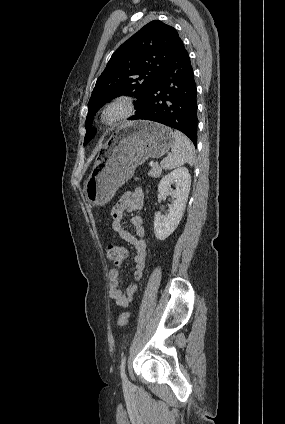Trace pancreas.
Segmentation results:
<instances>
[{
    "label": "pancreas",
    "mask_w": 285,
    "mask_h": 424,
    "mask_svg": "<svg viewBox=\"0 0 285 424\" xmlns=\"http://www.w3.org/2000/svg\"><path fill=\"white\" fill-rule=\"evenodd\" d=\"M161 168L155 164L153 166H151V170L149 172V176L154 177V178H158L161 175Z\"/></svg>",
    "instance_id": "1"
}]
</instances>
